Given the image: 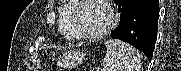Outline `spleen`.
I'll return each instance as SVG.
<instances>
[{
    "instance_id": "3e777b00",
    "label": "spleen",
    "mask_w": 181,
    "mask_h": 71,
    "mask_svg": "<svg viewBox=\"0 0 181 71\" xmlns=\"http://www.w3.org/2000/svg\"><path fill=\"white\" fill-rule=\"evenodd\" d=\"M105 45L107 49L102 71H139L141 56L134 47L113 39L107 40Z\"/></svg>"
}]
</instances>
